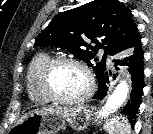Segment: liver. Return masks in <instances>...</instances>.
<instances>
[{
	"mask_svg": "<svg viewBox=\"0 0 153 134\" xmlns=\"http://www.w3.org/2000/svg\"><path fill=\"white\" fill-rule=\"evenodd\" d=\"M50 109H54V107H49Z\"/></svg>",
	"mask_w": 153,
	"mask_h": 134,
	"instance_id": "1",
	"label": "liver"
}]
</instances>
